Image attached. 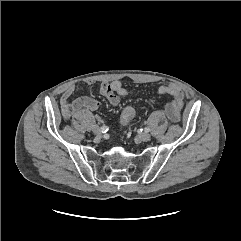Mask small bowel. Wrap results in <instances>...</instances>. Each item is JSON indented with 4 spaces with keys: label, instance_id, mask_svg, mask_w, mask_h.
Listing matches in <instances>:
<instances>
[{
    "label": "small bowel",
    "instance_id": "obj_1",
    "mask_svg": "<svg viewBox=\"0 0 241 241\" xmlns=\"http://www.w3.org/2000/svg\"><path fill=\"white\" fill-rule=\"evenodd\" d=\"M87 84L90 85L91 82H87ZM74 90L75 86L70 85L64 90L61 96V113L65 120H69L81 109L96 111L100 106V103L97 100L87 95L80 96L74 101H70ZM99 90L101 94L107 98L112 107H117L120 103L121 97L126 96L129 93V90L125 88L119 80L102 82L99 86ZM157 91L159 94H166L172 97L171 102L165 107V112L172 122L179 121L180 113L184 104L183 91L175 84L162 85L158 87Z\"/></svg>",
    "mask_w": 241,
    "mask_h": 241
}]
</instances>
